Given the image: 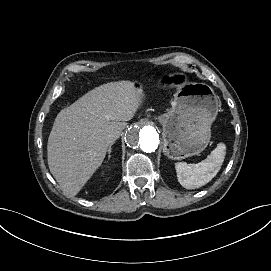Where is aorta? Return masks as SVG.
<instances>
[{
    "label": "aorta",
    "instance_id": "762f6f07",
    "mask_svg": "<svg viewBox=\"0 0 271 271\" xmlns=\"http://www.w3.org/2000/svg\"><path fill=\"white\" fill-rule=\"evenodd\" d=\"M125 136V141L130 148L145 153L154 152L160 141L156 129L143 121L131 126Z\"/></svg>",
    "mask_w": 271,
    "mask_h": 271
}]
</instances>
